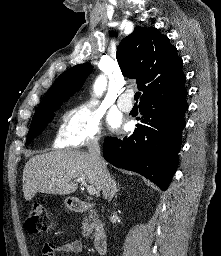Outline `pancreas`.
<instances>
[{
    "label": "pancreas",
    "instance_id": "cf45deb5",
    "mask_svg": "<svg viewBox=\"0 0 221 256\" xmlns=\"http://www.w3.org/2000/svg\"><path fill=\"white\" fill-rule=\"evenodd\" d=\"M92 217H85L82 222L83 235L88 236L93 229L100 224L98 218L91 219Z\"/></svg>",
    "mask_w": 221,
    "mask_h": 256
}]
</instances>
